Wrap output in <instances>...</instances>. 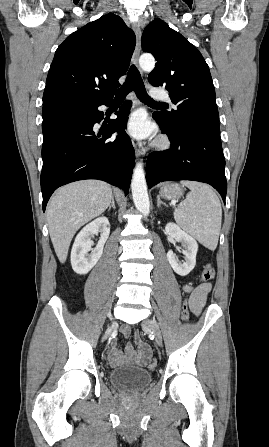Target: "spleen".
Instances as JSON below:
<instances>
[{"mask_svg": "<svg viewBox=\"0 0 269 447\" xmlns=\"http://www.w3.org/2000/svg\"><path fill=\"white\" fill-rule=\"evenodd\" d=\"M191 192L174 212V220L199 243L216 249L222 222L221 202L214 190L200 182H180Z\"/></svg>", "mask_w": 269, "mask_h": 447, "instance_id": "1", "label": "spleen"}]
</instances>
